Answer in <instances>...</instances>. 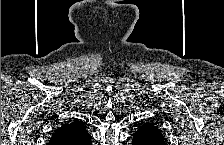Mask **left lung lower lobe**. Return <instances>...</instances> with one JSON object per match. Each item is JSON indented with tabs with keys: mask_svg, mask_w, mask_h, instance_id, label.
<instances>
[{
	"mask_svg": "<svg viewBox=\"0 0 224 145\" xmlns=\"http://www.w3.org/2000/svg\"><path fill=\"white\" fill-rule=\"evenodd\" d=\"M132 145H165V140L157 126L146 123L134 134Z\"/></svg>",
	"mask_w": 224,
	"mask_h": 145,
	"instance_id": "1",
	"label": "left lung lower lobe"
}]
</instances>
